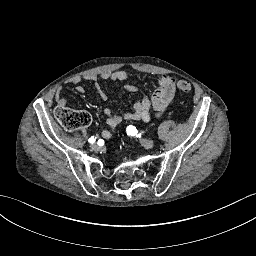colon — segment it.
I'll list each match as a JSON object with an SVG mask.
<instances>
[{"mask_svg": "<svg viewBox=\"0 0 256 256\" xmlns=\"http://www.w3.org/2000/svg\"><path fill=\"white\" fill-rule=\"evenodd\" d=\"M178 87L180 91L184 93L191 92V86L187 82L179 81ZM56 117L67 132L86 127L91 122V118L86 112L75 111L67 107L58 108L56 111Z\"/></svg>", "mask_w": 256, "mask_h": 256, "instance_id": "5ec220e1", "label": "colon"}]
</instances>
